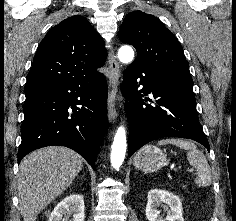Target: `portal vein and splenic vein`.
Listing matches in <instances>:
<instances>
[{"label":"portal vein and splenic vein","mask_w":236,"mask_h":221,"mask_svg":"<svg viewBox=\"0 0 236 221\" xmlns=\"http://www.w3.org/2000/svg\"><path fill=\"white\" fill-rule=\"evenodd\" d=\"M188 171H189V172H193L194 169H193V168H188Z\"/></svg>","instance_id":"1"}]
</instances>
